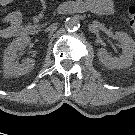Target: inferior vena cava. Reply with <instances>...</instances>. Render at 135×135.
Segmentation results:
<instances>
[{
	"label": "inferior vena cava",
	"instance_id": "1",
	"mask_svg": "<svg viewBox=\"0 0 135 135\" xmlns=\"http://www.w3.org/2000/svg\"><path fill=\"white\" fill-rule=\"evenodd\" d=\"M54 28H55V25L53 24V25L49 26L48 28H46L45 32L51 31Z\"/></svg>",
	"mask_w": 135,
	"mask_h": 135
}]
</instances>
